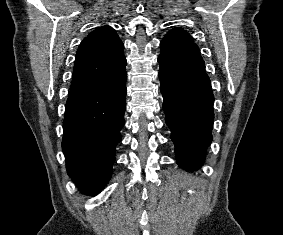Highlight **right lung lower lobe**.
Listing matches in <instances>:
<instances>
[{
    "instance_id": "98d812e1",
    "label": "right lung lower lobe",
    "mask_w": 283,
    "mask_h": 235,
    "mask_svg": "<svg viewBox=\"0 0 283 235\" xmlns=\"http://www.w3.org/2000/svg\"><path fill=\"white\" fill-rule=\"evenodd\" d=\"M125 70L116 76L70 88L62 149L68 174L81 192L99 193L109 181L115 147L124 125Z\"/></svg>"
}]
</instances>
